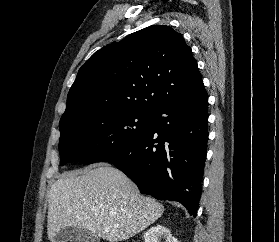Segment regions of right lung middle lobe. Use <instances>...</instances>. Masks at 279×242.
Returning a JSON list of instances; mask_svg holds the SVG:
<instances>
[{
  "mask_svg": "<svg viewBox=\"0 0 279 242\" xmlns=\"http://www.w3.org/2000/svg\"><path fill=\"white\" fill-rule=\"evenodd\" d=\"M153 113L125 110L94 119L73 118L60 125V164H92L119 153L150 129Z\"/></svg>",
  "mask_w": 279,
  "mask_h": 242,
  "instance_id": "right-lung-middle-lobe-1",
  "label": "right lung middle lobe"
}]
</instances>
